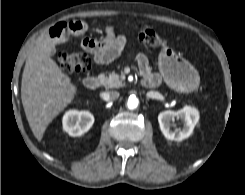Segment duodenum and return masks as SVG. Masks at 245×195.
Masks as SVG:
<instances>
[{
  "label": "duodenum",
  "mask_w": 245,
  "mask_h": 195,
  "mask_svg": "<svg viewBox=\"0 0 245 195\" xmlns=\"http://www.w3.org/2000/svg\"><path fill=\"white\" fill-rule=\"evenodd\" d=\"M84 86L89 90H95L100 86V79L97 76L89 75L85 77ZM160 83V79L151 75H143L142 85L146 88H156Z\"/></svg>",
  "instance_id": "1"
}]
</instances>
